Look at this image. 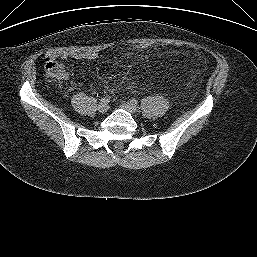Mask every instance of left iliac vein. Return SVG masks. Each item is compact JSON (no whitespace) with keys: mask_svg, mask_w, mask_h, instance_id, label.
I'll return each mask as SVG.
<instances>
[{"mask_svg":"<svg viewBox=\"0 0 257 257\" xmlns=\"http://www.w3.org/2000/svg\"><path fill=\"white\" fill-rule=\"evenodd\" d=\"M122 107L130 112L131 114H135L137 112V108L131 102H123Z\"/></svg>","mask_w":257,"mask_h":257,"instance_id":"left-iliac-vein-1","label":"left iliac vein"}]
</instances>
